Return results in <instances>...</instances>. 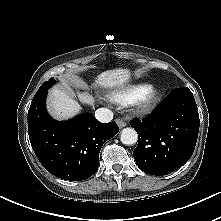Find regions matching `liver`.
I'll return each mask as SVG.
<instances>
[{"label": "liver", "instance_id": "1", "mask_svg": "<svg viewBox=\"0 0 221 221\" xmlns=\"http://www.w3.org/2000/svg\"><path fill=\"white\" fill-rule=\"evenodd\" d=\"M130 71L124 68L106 70L100 73L94 82V87L113 89L122 87L130 78ZM82 103L93 105L94 98L87 92L78 93ZM49 110L59 120H67L78 114L81 110L80 104L74 100V92L61 89H52L49 96Z\"/></svg>", "mask_w": 221, "mask_h": 221}]
</instances>
